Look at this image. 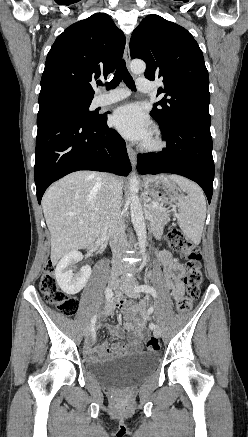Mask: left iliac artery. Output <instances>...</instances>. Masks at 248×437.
Returning a JSON list of instances; mask_svg holds the SVG:
<instances>
[{"instance_id": "left-iliac-artery-1", "label": "left iliac artery", "mask_w": 248, "mask_h": 437, "mask_svg": "<svg viewBox=\"0 0 248 437\" xmlns=\"http://www.w3.org/2000/svg\"><path fill=\"white\" fill-rule=\"evenodd\" d=\"M135 291L150 293L154 299L157 298L156 290L149 285H138L135 287ZM153 311H154V306L150 307L148 310L149 314L153 313ZM149 327L153 330L156 328V325L154 323H150Z\"/></svg>"}]
</instances>
